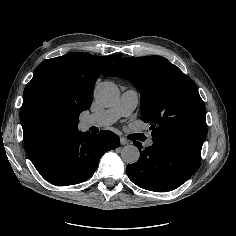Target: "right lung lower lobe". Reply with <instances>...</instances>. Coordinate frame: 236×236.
I'll list each match as a JSON object with an SVG mask.
<instances>
[{"label":"right lung lower lobe","instance_id":"obj_1","mask_svg":"<svg viewBox=\"0 0 236 236\" xmlns=\"http://www.w3.org/2000/svg\"><path fill=\"white\" fill-rule=\"evenodd\" d=\"M119 145V137L111 131H78L54 144L34 166L50 183L74 185L90 178L101 156Z\"/></svg>","mask_w":236,"mask_h":236}]
</instances>
